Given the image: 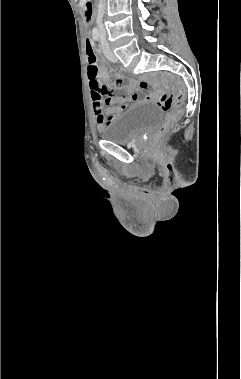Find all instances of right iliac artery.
<instances>
[{
    "mask_svg": "<svg viewBox=\"0 0 241 379\" xmlns=\"http://www.w3.org/2000/svg\"><path fill=\"white\" fill-rule=\"evenodd\" d=\"M92 36H93V39L95 41H98L99 40V37H100V33H99V30L94 28L93 31H92Z\"/></svg>",
    "mask_w": 241,
    "mask_h": 379,
    "instance_id": "right-iliac-artery-1",
    "label": "right iliac artery"
}]
</instances>
